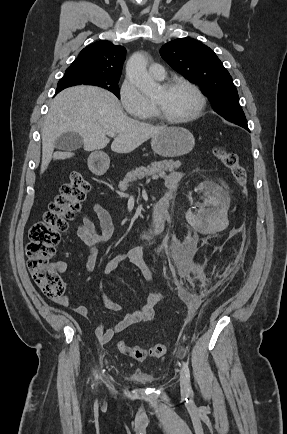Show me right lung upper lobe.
<instances>
[{
	"instance_id": "cb5924a9",
	"label": "right lung upper lobe",
	"mask_w": 287,
	"mask_h": 434,
	"mask_svg": "<svg viewBox=\"0 0 287 434\" xmlns=\"http://www.w3.org/2000/svg\"><path fill=\"white\" fill-rule=\"evenodd\" d=\"M126 49L110 41H97L84 48L67 69L96 77L119 78ZM63 89H57L56 93Z\"/></svg>"
}]
</instances>
